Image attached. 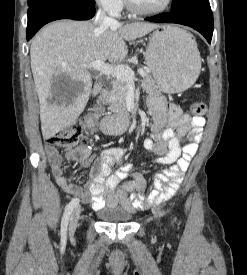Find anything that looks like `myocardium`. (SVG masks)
<instances>
[{"mask_svg": "<svg viewBox=\"0 0 247 275\" xmlns=\"http://www.w3.org/2000/svg\"><path fill=\"white\" fill-rule=\"evenodd\" d=\"M125 1H126L128 10L135 15H156L167 10L170 7L173 0H166L161 7L155 8V9H143L138 7L133 0H125Z\"/></svg>", "mask_w": 247, "mask_h": 275, "instance_id": "obj_1", "label": "myocardium"}]
</instances>
